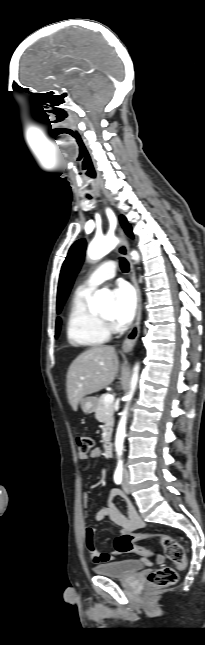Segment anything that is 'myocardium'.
Segmentation results:
<instances>
[{
  "label": "myocardium",
  "instance_id": "1",
  "mask_svg": "<svg viewBox=\"0 0 205 645\" xmlns=\"http://www.w3.org/2000/svg\"><path fill=\"white\" fill-rule=\"evenodd\" d=\"M98 316L102 320V322L105 324L107 329L111 330L112 329V320H111V318H107V317H105L103 315H98Z\"/></svg>",
  "mask_w": 205,
  "mask_h": 645
}]
</instances>
